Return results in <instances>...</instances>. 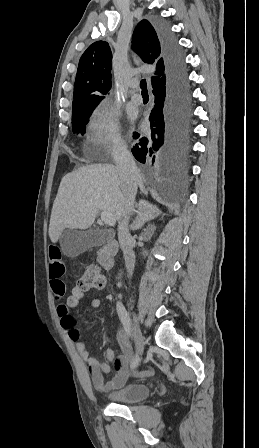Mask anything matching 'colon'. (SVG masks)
<instances>
[{"label":"colon","instance_id":"5ec220e1","mask_svg":"<svg viewBox=\"0 0 259 448\" xmlns=\"http://www.w3.org/2000/svg\"><path fill=\"white\" fill-rule=\"evenodd\" d=\"M105 286V277L94 267L86 268L77 283L82 292L101 291Z\"/></svg>","mask_w":259,"mask_h":448}]
</instances>
